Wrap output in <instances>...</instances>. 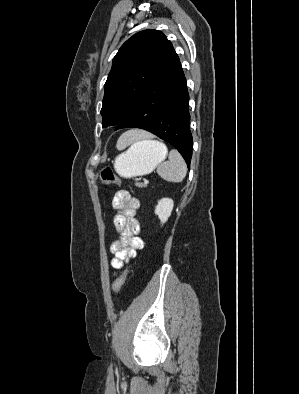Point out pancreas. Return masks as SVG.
<instances>
[{
	"mask_svg": "<svg viewBox=\"0 0 299 394\" xmlns=\"http://www.w3.org/2000/svg\"><path fill=\"white\" fill-rule=\"evenodd\" d=\"M137 187H146V184H143V183H136L135 184Z\"/></svg>",
	"mask_w": 299,
	"mask_h": 394,
	"instance_id": "cf45deb5",
	"label": "pancreas"
}]
</instances>
